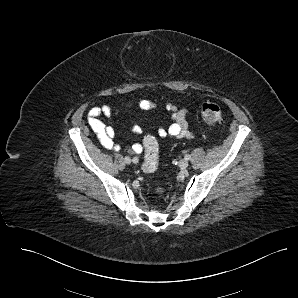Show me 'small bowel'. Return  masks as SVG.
I'll use <instances>...</instances> for the list:
<instances>
[{
	"mask_svg": "<svg viewBox=\"0 0 298 298\" xmlns=\"http://www.w3.org/2000/svg\"><path fill=\"white\" fill-rule=\"evenodd\" d=\"M129 104L127 107H131ZM137 107L143 111L151 110L155 107L154 103L148 99H142L137 103ZM166 109L171 113L173 122L168 127H160L157 134L160 138H190L193 132L187 122L188 111L185 109H178L172 104H167ZM112 109L109 105L92 107L87 115V122L91 130L97 135L101 145L112 151H119L120 145L114 141L115 131L112 127L106 126L102 121V116H110ZM132 132L140 134L142 128L140 125L135 124L132 127ZM129 151L139 154L142 152V146L135 143L130 146Z\"/></svg>",
	"mask_w": 298,
	"mask_h": 298,
	"instance_id": "c3829d8e",
	"label": "small bowel"
}]
</instances>
